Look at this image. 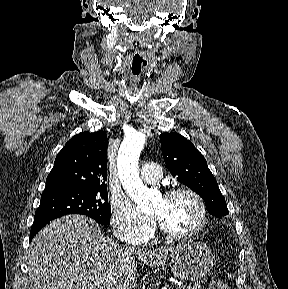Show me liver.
Returning a JSON list of instances; mask_svg holds the SVG:
<instances>
[{
  "label": "liver",
  "mask_w": 288,
  "mask_h": 289,
  "mask_svg": "<svg viewBox=\"0 0 288 289\" xmlns=\"http://www.w3.org/2000/svg\"><path fill=\"white\" fill-rule=\"evenodd\" d=\"M174 247H121L82 215L51 221L32 240L28 254L31 289H134L135 255L151 267L163 266Z\"/></svg>",
  "instance_id": "6515ba94"
}]
</instances>
